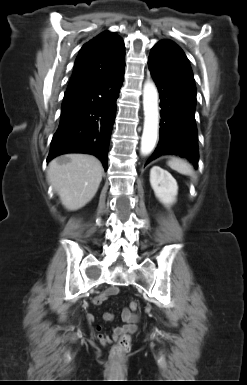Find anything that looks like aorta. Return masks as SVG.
I'll use <instances>...</instances> for the list:
<instances>
[{
	"label": "aorta",
	"mask_w": 247,
	"mask_h": 385,
	"mask_svg": "<svg viewBox=\"0 0 247 385\" xmlns=\"http://www.w3.org/2000/svg\"><path fill=\"white\" fill-rule=\"evenodd\" d=\"M144 127L141 137L140 152L150 154L157 142L159 127L158 91L152 81H146L143 87Z\"/></svg>",
	"instance_id": "762f6f07"
}]
</instances>
